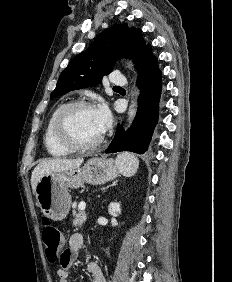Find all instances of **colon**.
<instances>
[{"label":"colon","instance_id":"5ec220e1","mask_svg":"<svg viewBox=\"0 0 232 282\" xmlns=\"http://www.w3.org/2000/svg\"><path fill=\"white\" fill-rule=\"evenodd\" d=\"M42 240L45 246V254L50 263H55L59 256L62 257V235L61 232L54 227L48 219L43 221ZM61 253V254H60Z\"/></svg>","mask_w":232,"mask_h":282}]
</instances>
